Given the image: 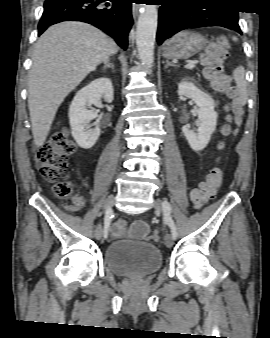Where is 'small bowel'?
<instances>
[{
  "mask_svg": "<svg viewBox=\"0 0 270 338\" xmlns=\"http://www.w3.org/2000/svg\"><path fill=\"white\" fill-rule=\"evenodd\" d=\"M72 202H82L79 196H75L72 199ZM122 228V224L116 223L113 231V235L115 237L120 235V229ZM132 237L139 240H147L148 239V227L146 223L142 220H138L133 224L132 228Z\"/></svg>",
  "mask_w": 270,
  "mask_h": 338,
  "instance_id": "small-bowel-1",
  "label": "small bowel"
}]
</instances>
